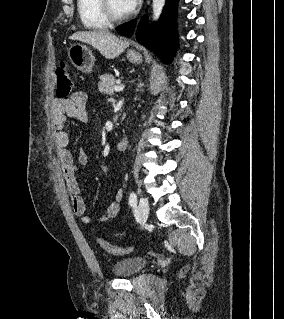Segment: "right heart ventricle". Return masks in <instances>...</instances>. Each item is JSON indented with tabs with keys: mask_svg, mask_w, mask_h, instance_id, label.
Listing matches in <instances>:
<instances>
[{
	"mask_svg": "<svg viewBox=\"0 0 284 319\" xmlns=\"http://www.w3.org/2000/svg\"><path fill=\"white\" fill-rule=\"evenodd\" d=\"M77 10L82 24L88 29H104L110 23L100 0H77Z\"/></svg>",
	"mask_w": 284,
	"mask_h": 319,
	"instance_id": "right-heart-ventricle-1",
	"label": "right heart ventricle"
}]
</instances>
